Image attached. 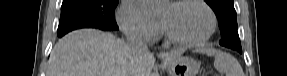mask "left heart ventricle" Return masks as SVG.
Here are the masks:
<instances>
[{"mask_svg": "<svg viewBox=\"0 0 287 76\" xmlns=\"http://www.w3.org/2000/svg\"><path fill=\"white\" fill-rule=\"evenodd\" d=\"M172 33L180 39L194 40L203 36L209 27V16L203 7L194 3L178 7L167 5L160 14Z\"/></svg>", "mask_w": 287, "mask_h": 76, "instance_id": "1", "label": "left heart ventricle"}]
</instances>
